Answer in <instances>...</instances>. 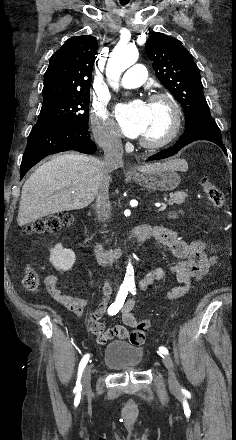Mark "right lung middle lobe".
<instances>
[{
  "mask_svg": "<svg viewBox=\"0 0 236 440\" xmlns=\"http://www.w3.org/2000/svg\"><path fill=\"white\" fill-rule=\"evenodd\" d=\"M90 93L42 105L36 125H57L88 129Z\"/></svg>",
  "mask_w": 236,
  "mask_h": 440,
  "instance_id": "dd1d6c3e",
  "label": "right lung middle lobe"
}]
</instances>
